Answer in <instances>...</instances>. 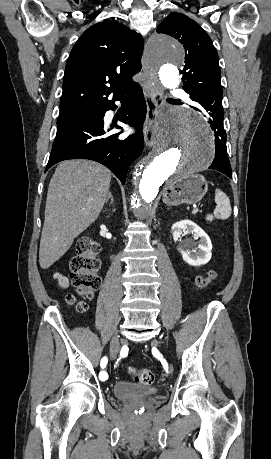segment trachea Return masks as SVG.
I'll list each match as a JSON object with an SVG mask.
<instances>
[{
	"instance_id": "3493384b",
	"label": "trachea",
	"mask_w": 271,
	"mask_h": 459,
	"mask_svg": "<svg viewBox=\"0 0 271 459\" xmlns=\"http://www.w3.org/2000/svg\"><path fill=\"white\" fill-rule=\"evenodd\" d=\"M126 100H127V101H129L130 99H129V98H127Z\"/></svg>"
}]
</instances>
